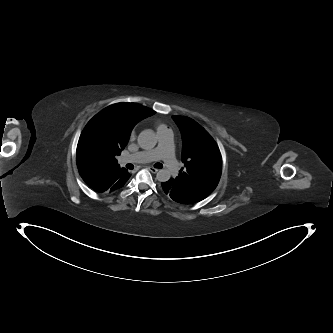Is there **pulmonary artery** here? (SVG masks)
<instances>
[{
    "label": "pulmonary artery",
    "mask_w": 333,
    "mask_h": 333,
    "mask_svg": "<svg viewBox=\"0 0 333 333\" xmlns=\"http://www.w3.org/2000/svg\"><path fill=\"white\" fill-rule=\"evenodd\" d=\"M158 133L159 143L157 148L148 151L134 153L121 159V164L128 163H149L156 160H162L170 173L176 172V164L173 152V133L165 128Z\"/></svg>",
    "instance_id": "pulmonary-artery-1"
}]
</instances>
